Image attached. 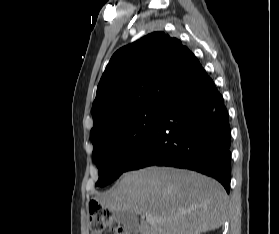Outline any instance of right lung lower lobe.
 <instances>
[{"label": "right lung lower lobe", "instance_id": "98d812e1", "mask_svg": "<svg viewBox=\"0 0 279 234\" xmlns=\"http://www.w3.org/2000/svg\"><path fill=\"white\" fill-rule=\"evenodd\" d=\"M151 165L195 170L230 190V125L223 97L202 69L165 107L126 171Z\"/></svg>", "mask_w": 279, "mask_h": 234}]
</instances>
